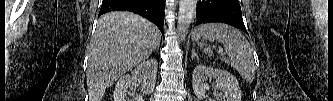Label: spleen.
Returning a JSON list of instances; mask_svg holds the SVG:
<instances>
[{
  "label": "spleen",
  "instance_id": "spleen-1",
  "mask_svg": "<svg viewBox=\"0 0 333 101\" xmlns=\"http://www.w3.org/2000/svg\"><path fill=\"white\" fill-rule=\"evenodd\" d=\"M200 37L223 43L229 57L222 60L236 69L247 82L251 83L254 80L255 64L252 49L240 31L221 23L204 24L197 27L192 34L193 40H198ZM204 51L209 56L213 54L211 49Z\"/></svg>",
  "mask_w": 333,
  "mask_h": 101
}]
</instances>
